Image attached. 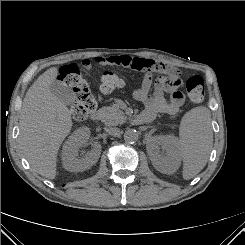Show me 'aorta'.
<instances>
[{
  "mask_svg": "<svg viewBox=\"0 0 245 245\" xmlns=\"http://www.w3.org/2000/svg\"><path fill=\"white\" fill-rule=\"evenodd\" d=\"M139 134L135 129H128L124 133V140L128 143H134L138 140Z\"/></svg>",
  "mask_w": 245,
  "mask_h": 245,
  "instance_id": "1",
  "label": "aorta"
}]
</instances>
